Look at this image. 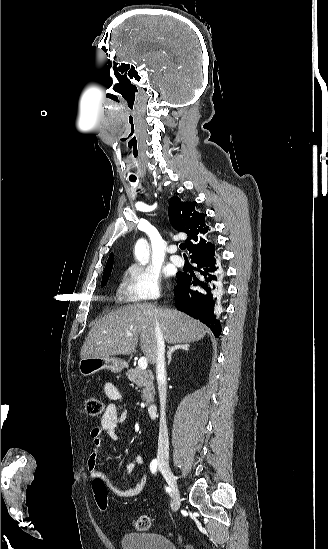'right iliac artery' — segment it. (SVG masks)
Segmentation results:
<instances>
[{
  "label": "right iliac artery",
  "mask_w": 328,
  "mask_h": 549,
  "mask_svg": "<svg viewBox=\"0 0 328 549\" xmlns=\"http://www.w3.org/2000/svg\"><path fill=\"white\" fill-rule=\"evenodd\" d=\"M157 464H158V463H157V460H156V459H154V460L151 462V464H150V469H151L152 473H155V472H156ZM166 491L170 493V492H171V489H170L169 487H166Z\"/></svg>",
  "instance_id": "obj_1"
}]
</instances>
